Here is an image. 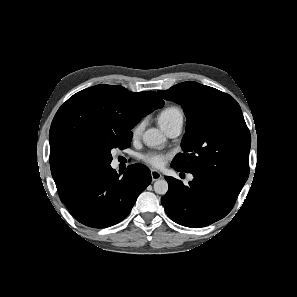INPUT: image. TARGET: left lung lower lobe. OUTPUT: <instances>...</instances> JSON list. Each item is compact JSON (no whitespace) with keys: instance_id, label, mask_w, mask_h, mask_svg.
Masks as SVG:
<instances>
[{"instance_id":"obj_1","label":"left lung lower lobe","mask_w":297,"mask_h":297,"mask_svg":"<svg viewBox=\"0 0 297 297\" xmlns=\"http://www.w3.org/2000/svg\"><path fill=\"white\" fill-rule=\"evenodd\" d=\"M166 180L169 189L161 203L174 222L186 227L201 228L222 219L232 210L238 196L223 184L203 177L194 176L187 186L173 177Z\"/></svg>"}]
</instances>
